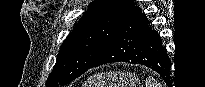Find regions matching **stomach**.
Listing matches in <instances>:
<instances>
[{"label":"stomach","mask_w":205,"mask_h":87,"mask_svg":"<svg viewBox=\"0 0 205 87\" xmlns=\"http://www.w3.org/2000/svg\"><path fill=\"white\" fill-rule=\"evenodd\" d=\"M140 79L131 72L98 73L88 79L85 87H138Z\"/></svg>","instance_id":"0dacf381"}]
</instances>
